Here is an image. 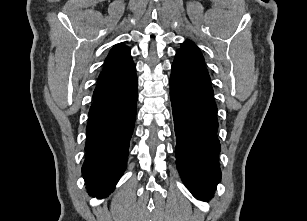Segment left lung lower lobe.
I'll return each mask as SVG.
<instances>
[{"mask_svg": "<svg viewBox=\"0 0 307 221\" xmlns=\"http://www.w3.org/2000/svg\"><path fill=\"white\" fill-rule=\"evenodd\" d=\"M170 98L177 168L190 192L207 201L221 180L217 107L207 70L178 51L171 69Z\"/></svg>", "mask_w": 307, "mask_h": 221, "instance_id": "obj_1", "label": "left lung lower lobe"}]
</instances>
